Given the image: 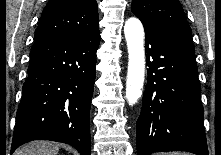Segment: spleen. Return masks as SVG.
<instances>
[{"instance_id": "1", "label": "spleen", "mask_w": 221, "mask_h": 155, "mask_svg": "<svg viewBox=\"0 0 221 155\" xmlns=\"http://www.w3.org/2000/svg\"><path fill=\"white\" fill-rule=\"evenodd\" d=\"M169 155H187V153H185V152H176V153H172V154H169Z\"/></svg>"}]
</instances>
